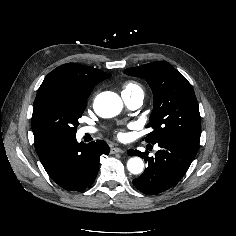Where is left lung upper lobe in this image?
<instances>
[{
    "mask_svg": "<svg viewBox=\"0 0 236 236\" xmlns=\"http://www.w3.org/2000/svg\"><path fill=\"white\" fill-rule=\"evenodd\" d=\"M144 78L153 92L154 108L150 116L153 131L146 142L180 140L199 145L201 119L198 102L191 84L171 65L155 61L124 71Z\"/></svg>",
    "mask_w": 236,
    "mask_h": 236,
    "instance_id": "5c2ea615",
    "label": "left lung upper lobe"
}]
</instances>
